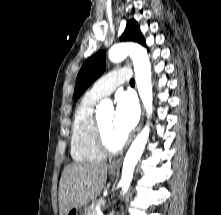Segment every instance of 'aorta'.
<instances>
[{
  "label": "aorta",
  "mask_w": 221,
  "mask_h": 215,
  "mask_svg": "<svg viewBox=\"0 0 221 215\" xmlns=\"http://www.w3.org/2000/svg\"><path fill=\"white\" fill-rule=\"evenodd\" d=\"M128 55L133 61L137 89L149 118L152 114L153 93L151 64L146 49L136 43H120L113 45L108 53L110 61L115 63L124 60ZM111 105L112 103L109 100H104L99 104V108L103 109ZM149 132V125H146L137 135L125 156L120 180L123 194L130 187L135 166L143 154L149 138Z\"/></svg>",
  "instance_id": "1"
}]
</instances>
